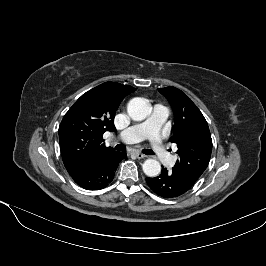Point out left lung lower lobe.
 Segmentation results:
<instances>
[{
	"instance_id": "0a47b994",
	"label": "left lung lower lobe",
	"mask_w": 266,
	"mask_h": 266,
	"mask_svg": "<svg viewBox=\"0 0 266 266\" xmlns=\"http://www.w3.org/2000/svg\"><path fill=\"white\" fill-rule=\"evenodd\" d=\"M148 186L159 196L175 198L190 190L191 186L162 166L161 174L155 178H146Z\"/></svg>"
}]
</instances>
